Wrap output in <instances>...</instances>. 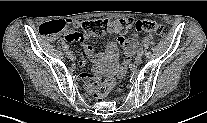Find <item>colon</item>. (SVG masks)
<instances>
[{"instance_id": "1", "label": "colon", "mask_w": 207, "mask_h": 123, "mask_svg": "<svg viewBox=\"0 0 207 123\" xmlns=\"http://www.w3.org/2000/svg\"><path fill=\"white\" fill-rule=\"evenodd\" d=\"M112 24L113 21L107 19L88 20L81 24L82 32L74 33L73 37L101 36L110 30ZM116 24L121 28L122 32H126L134 27L137 32L153 33L159 36H162L165 33L164 25L148 20L133 22L131 19H119L116 20ZM63 27L64 22L62 20H55L42 23L38 28V32L41 36L51 37L59 34ZM120 42H122V38H120ZM115 87L116 80L114 78H107L102 82L95 83L93 85L94 96L103 98L113 91Z\"/></svg>"}]
</instances>
